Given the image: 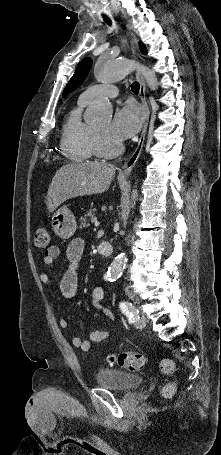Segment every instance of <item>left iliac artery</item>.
<instances>
[{
    "label": "left iliac artery",
    "instance_id": "left-iliac-artery-1",
    "mask_svg": "<svg viewBox=\"0 0 221 455\" xmlns=\"http://www.w3.org/2000/svg\"><path fill=\"white\" fill-rule=\"evenodd\" d=\"M119 308L128 317L130 323L135 322L139 318V311L129 302H120Z\"/></svg>",
    "mask_w": 221,
    "mask_h": 455
}]
</instances>
